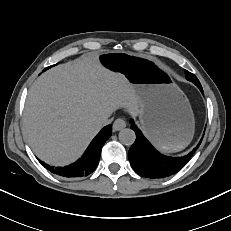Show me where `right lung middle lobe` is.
I'll list each match as a JSON object with an SVG mask.
<instances>
[{
  "instance_id": "right-lung-middle-lobe-1",
  "label": "right lung middle lobe",
  "mask_w": 231,
  "mask_h": 231,
  "mask_svg": "<svg viewBox=\"0 0 231 231\" xmlns=\"http://www.w3.org/2000/svg\"><path fill=\"white\" fill-rule=\"evenodd\" d=\"M50 67H52V66H50ZM50 67H48V68H50ZM48 68L44 69L43 71L47 70Z\"/></svg>"
}]
</instances>
